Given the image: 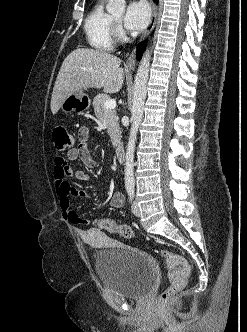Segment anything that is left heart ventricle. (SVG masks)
I'll use <instances>...</instances> for the list:
<instances>
[{
    "instance_id": "b2bd125f",
    "label": "left heart ventricle",
    "mask_w": 247,
    "mask_h": 332,
    "mask_svg": "<svg viewBox=\"0 0 247 332\" xmlns=\"http://www.w3.org/2000/svg\"><path fill=\"white\" fill-rule=\"evenodd\" d=\"M113 19L115 20V21H117L118 23H120L121 22V19H122V16H114L113 17Z\"/></svg>"
}]
</instances>
